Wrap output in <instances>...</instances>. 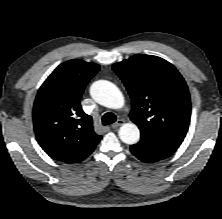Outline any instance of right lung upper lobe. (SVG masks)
I'll return each mask as SVG.
<instances>
[{"label": "right lung upper lobe", "instance_id": "1", "mask_svg": "<svg viewBox=\"0 0 222 219\" xmlns=\"http://www.w3.org/2000/svg\"><path fill=\"white\" fill-rule=\"evenodd\" d=\"M100 66L73 59L60 64L38 90L33 125L38 143L53 159L79 163L101 140L80 98Z\"/></svg>", "mask_w": 222, "mask_h": 219}]
</instances>
